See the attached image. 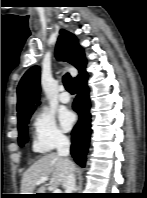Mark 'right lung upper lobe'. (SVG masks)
<instances>
[{
    "mask_svg": "<svg viewBox=\"0 0 147 198\" xmlns=\"http://www.w3.org/2000/svg\"><path fill=\"white\" fill-rule=\"evenodd\" d=\"M58 60L69 62L79 70V75L74 81L85 73L86 58L83 49L79 46L76 37L64 30L60 35L55 51ZM17 112L18 122L30 116L40 98V69L38 66L30 68L21 78L17 87Z\"/></svg>",
    "mask_w": 147,
    "mask_h": 198,
    "instance_id": "obj_1",
    "label": "right lung upper lobe"
}]
</instances>
